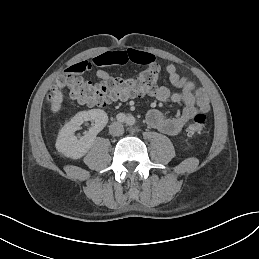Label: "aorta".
Returning a JSON list of instances; mask_svg holds the SVG:
<instances>
[{"label":"aorta","mask_w":259,"mask_h":259,"mask_svg":"<svg viewBox=\"0 0 259 259\" xmlns=\"http://www.w3.org/2000/svg\"><path fill=\"white\" fill-rule=\"evenodd\" d=\"M125 123H126L127 125H133V124L135 123L134 117H133V116H128V117H126Z\"/></svg>","instance_id":"762f6f07"}]
</instances>
